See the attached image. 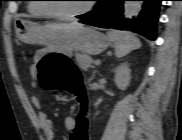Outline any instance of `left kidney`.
<instances>
[{
	"mask_svg": "<svg viewBox=\"0 0 182 140\" xmlns=\"http://www.w3.org/2000/svg\"><path fill=\"white\" fill-rule=\"evenodd\" d=\"M131 80V70L127 63L120 64L115 69L114 81L120 90H126Z\"/></svg>",
	"mask_w": 182,
	"mask_h": 140,
	"instance_id": "1",
	"label": "left kidney"
}]
</instances>
